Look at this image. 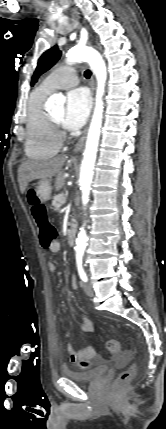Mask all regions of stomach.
Wrapping results in <instances>:
<instances>
[{
	"label": "stomach",
	"mask_w": 166,
	"mask_h": 429,
	"mask_svg": "<svg viewBox=\"0 0 166 429\" xmlns=\"http://www.w3.org/2000/svg\"><path fill=\"white\" fill-rule=\"evenodd\" d=\"M37 198L43 202H46L51 197L52 188L48 180H41L34 189Z\"/></svg>",
	"instance_id": "stomach-1"
}]
</instances>
